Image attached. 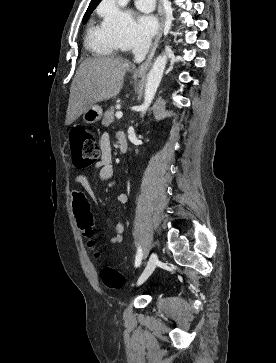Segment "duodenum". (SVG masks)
<instances>
[{
    "label": "duodenum",
    "mask_w": 276,
    "mask_h": 363,
    "mask_svg": "<svg viewBox=\"0 0 276 363\" xmlns=\"http://www.w3.org/2000/svg\"><path fill=\"white\" fill-rule=\"evenodd\" d=\"M119 147L122 153H125L128 149V141L126 135L123 132H119L117 135Z\"/></svg>",
    "instance_id": "1"
}]
</instances>
